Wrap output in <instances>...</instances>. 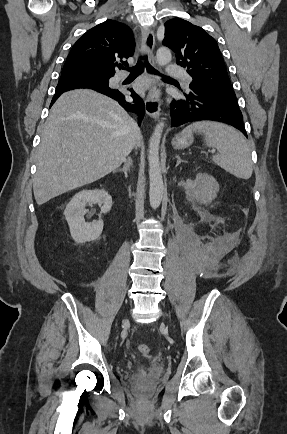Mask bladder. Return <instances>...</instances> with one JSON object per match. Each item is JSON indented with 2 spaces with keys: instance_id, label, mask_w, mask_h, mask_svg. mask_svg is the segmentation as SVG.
<instances>
[{
  "instance_id": "bladder-1",
  "label": "bladder",
  "mask_w": 287,
  "mask_h": 434,
  "mask_svg": "<svg viewBox=\"0 0 287 434\" xmlns=\"http://www.w3.org/2000/svg\"><path fill=\"white\" fill-rule=\"evenodd\" d=\"M138 370H139V371H144L145 368H144V366H140V367L138 368Z\"/></svg>"
}]
</instances>
